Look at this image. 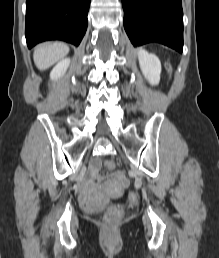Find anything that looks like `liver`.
<instances>
[{
    "mask_svg": "<svg viewBox=\"0 0 219 258\" xmlns=\"http://www.w3.org/2000/svg\"><path fill=\"white\" fill-rule=\"evenodd\" d=\"M68 52L69 47L64 43H44L35 49L33 59L39 70H46L64 58Z\"/></svg>",
    "mask_w": 219,
    "mask_h": 258,
    "instance_id": "1",
    "label": "liver"
}]
</instances>
